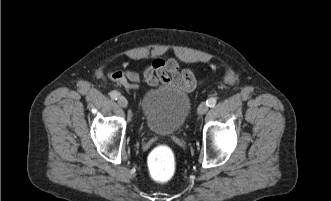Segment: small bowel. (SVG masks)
I'll list each match as a JSON object with an SVG mask.
<instances>
[{
	"instance_id": "small-bowel-1",
	"label": "small bowel",
	"mask_w": 331,
	"mask_h": 201,
	"mask_svg": "<svg viewBox=\"0 0 331 201\" xmlns=\"http://www.w3.org/2000/svg\"><path fill=\"white\" fill-rule=\"evenodd\" d=\"M144 81L151 87L159 85H176L186 91L196 87V80L191 70L181 69L179 63L173 59L155 58L142 72ZM109 78L122 84L130 91L136 90L141 76L134 70L113 72Z\"/></svg>"
}]
</instances>
